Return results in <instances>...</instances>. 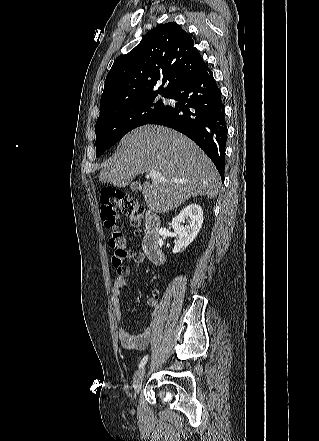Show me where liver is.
Instances as JSON below:
<instances>
[{
  "instance_id": "1",
  "label": "liver",
  "mask_w": 319,
  "mask_h": 441,
  "mask_svg": "<svg viewBox=\"0 0 319 441\" xmlns=\"http://www.w3.org/2000/svg\"><path fill=\"white\" fill-rule=\"evenodd\" d=\"M152 170L167 179L143 184L144 200L153 212L172 210L191 197L213 199L218 194L221 178L212 161L188 137L159 125H144L127 133L105 162L99 181L124 187L136 175Z\"/></svg>"
}]
</instances>
